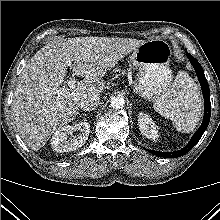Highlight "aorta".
Returning a JSON list of instances; mask_svg holds the SVG:
<instances>
[{"label":"aorta","instance_id":"obj_1","mask_svg":"<svg viewBox=\"0 0 220 220\" xmlns=\"http://www.w3.org/2000/svg\"><path fill=\"white\" fill-rule=\"evenodd\" d=\"M125 105V100L122 96H114L110 99V106L113 109H122Z\"/></svg>","mask_w":220,"mask_h":220}]
</instances>
